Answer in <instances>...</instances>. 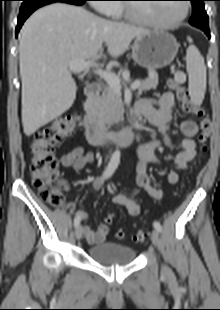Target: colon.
Here are the masks:
<instances>
[{
  "mask_svg": "<svg viewBox=\"0 0 220 310\" xmlns=\"http://www.w3.org/2000/svg\"><path fill=\"white\" fill-rule=\"evenodd\" d=\"M185 75L181 72L176 73L175 77L169 81V86L175 90L182 110L200 119L199 133L197 141L200 149L203 150L208 142L213 129V123L205 109L197 102L193 101L183 86ZM79 120V114L74 113L60 118L52 124L38 130L33 136L29 151L31 154L30 171L34 187L40 192L42 198L51 206L59 207L64 202V196L60 188L55 185L58 178V160L54 155L55 147L68 135L73 133ZM114 214L106 216L105 221L112 223ZM118 239L125 238V232H116ZM146 233L138 231L133 240L137 243L143 242Z\"/></svg>",
  "mask_w": 220,
  "mask_h": 310,
  "instance_id": "colon-1",
  "label": "colon"
}]
</instances>
